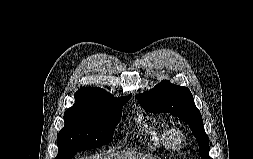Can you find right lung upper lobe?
Masks as SVG:
<instances>
[{
  "instance_id": "right-lung-upper-lobe-1",
  "label": "right lung upper lobe",
  "mask_w": 253,
  "mask_h": 159,
  "mask_svg": "<svg viewBox=\"0 0 253 159\" xmlns=\"http://www.w3.org/2000/svg\"><path fill=\"white\" fill-rule=\"evenodd\" d=\"M130 96L116 98L110 95L106 90L98 87L81 88L75 93V103L97 102L105 103L109 101H122L130 99Z\"/></svg>"
}]
</instances>
